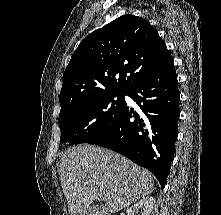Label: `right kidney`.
I'll use <instances>...</instances> for the list:
<instances>
[{
    "instance_id": "right-kidney-1",
    "label": "right kidney",
    "mask_w": 221,
    "mask_h": 215,
    "mask_svg": "<svg viewBox=\"0 0 221 215\" xmlns=\"http://www.w3.org/2000/svg\"><path fill=\"white\" fill-rule=\"evenodd\" d=\"M155 202L153 197L143 198L127 210V215H150Z\"/></svg>"
}]
</instances>
